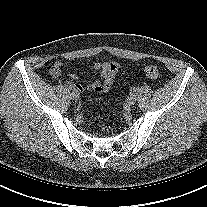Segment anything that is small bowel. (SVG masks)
<instances>
[{
    "mask_svg": "<svg viewBox=\"0 0 207 207\" xmlns=\"http://www.w3.org/2000/svg\"><path fill=\"white\" fill-rule=\"evenodd\" d=\"M121 65L115 61L107 62H95L92 64V68L100 72L99 79L87 85V90L94 93H106L108 92L116 79L117 74L121 69ZM62 73V63L56 62L50 68V75L52 77H59ZM70 77L76 81L78 80V75L76 73H71ZM69 86H73L77 91H82L83 87L77 82H70Z\"/></svg>",
    "mask_w": 207,
    "mask_h": 207,
    "instance_id": "c3829d8e",
    "label": "small bowel"
}]
</instances>
